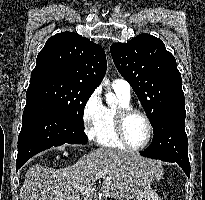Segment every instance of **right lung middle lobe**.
I'll return each instance as SVG.
<instances>
[{"label": "right lung middle lobe", "mask_w": 205, "mask_h": 200, "mask_svg": "<svg viewBox=\"0 0 205 200\" xmlns=\"http://www.w3.org/2000/svg\"><path fill=\"white\" fill-rule=\"evenodd\" d=\"M94 89L54 76L30 79L27 99H38L53 106L72 122L84 128L83 112Z\"/></svg>", "instance_id": "1"}]
</instances>
